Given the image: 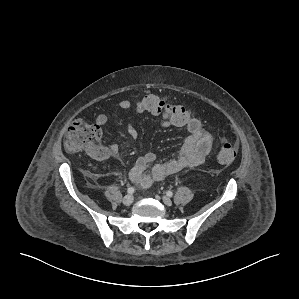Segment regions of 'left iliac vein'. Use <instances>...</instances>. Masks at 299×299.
<instances>
[{
	"label": "left iliac vein",
	"instance_id": "obj_1",
	"mask_svg": "<svg viewBox=\"0 0 299 299\" xmlns=\"http://www.w3.org/2000/svg\"><path fill=\"white\" fill-rule=\"evenodd\" d=\"M162 200H163V202H164L165 205H167V206H171L172 205V200L169 197L163 196Z\"/></svg>",
	"mask_w": 299,
	"mask_h": 299
}]
</instances>
